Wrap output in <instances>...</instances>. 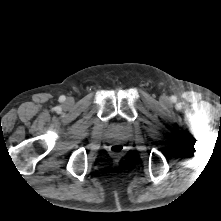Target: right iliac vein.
I'll return each mask as SVG.
<instances>
[{
  "mask_svg": "<svg viewBox=\"0 0 221 221\" xmlns=\"http://www.w3.org/2000/svg\"><path fill=\"white\" fill-rule=\"evenodd\" d=\"M68 103H71V100H68Z\"/></svg>",
  "mask_w": 221,
  "mask_h": 221,
  "instance_id": "63e3f726",
  "label": "right iliac vein"
}]
</instances>
